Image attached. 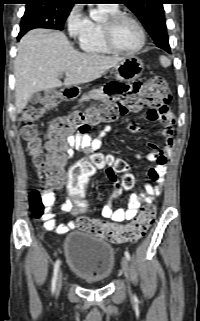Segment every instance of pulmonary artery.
<instances>
[{
  "label": "pulmonary artery",
  "mask_w": 200,
  "mask_h": 321,
  "mask_svg": "<svg viewBox=\"0 0 200 321\" xmlns=\"http://www.w3.org/2000/svg\"><path fill=\"white\" fill-rule=\"evenodd\" d=\"M107 6L116 7V5H115V4H111V5H107Z\"/></svg>",
  "instance_id": "obj_1"
}]
</instances>
